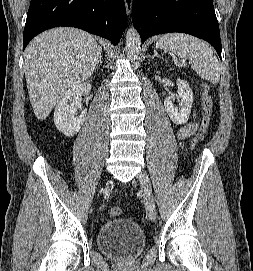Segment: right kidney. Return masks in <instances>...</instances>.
I'll return each instance as SVG.
<instances>
[{
	"mask_svg": "<svg viewBox=\"0 0 253 271\" xmlns=\"http://www.w3.org/2000/svg\"><path fill=\"white\" fill-rule=\"evenodd\" d=\"M90 83H82L70 88L57 102L54 111V124L56 128L67 137L74 136L79 132L86 118V109L75 117L77 109H81L79 101L81 95L91 91ZM70 102V104H69Z\"/></svg>",
	"mask_w": 253,
	"mask_h": 271,
	"instance_id": "1",
	"label": "right kidney"
}]
</instances>
